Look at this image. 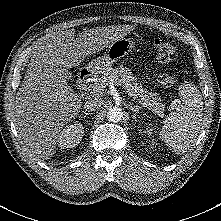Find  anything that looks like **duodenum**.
I'll return each mask as SVG.
<instances>
[{
    "label": "duodenum",
    "instance_id": "410a0bca",
    "mask_svg": "<svg viewBox=\"0 0 221 221\" xmlns=\"http://www.w3.org/2000/svg\"><path fill=\"white\" fill-rule=\"evenodd\" d=\"M91 72L90 70L84 68L80 71L79 79H78V86L81 88L83 85L90 79Z\"/></svg>",
    "mask_w": 221,
    "mask_h": 221
}]
</instances>
